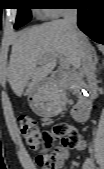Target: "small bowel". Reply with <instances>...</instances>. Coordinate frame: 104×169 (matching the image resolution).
<instances>
[{
  "label": "small bowel",
  "instance_id": "obj_1",
  "mask_svg": "<svg viewBox=\"0 0 104 169\" xmlns=\"http://www.w3.org/2000/svg\"><path fill=\"white\" fill-rule=\"evenodd\" d=\"M78 137H79L78 142L74 147L79 150H82L86 147V141L82 134L78 133ZM55 155H56L55 169H62L69 156L68 148L66 146L57 147L55 149ZM80 169H94L92 160L90 158H86L82 163Z\"/></svg>",
  "mask_w": 104,
  "mask_h": 169
}]
</instances>
